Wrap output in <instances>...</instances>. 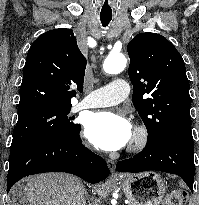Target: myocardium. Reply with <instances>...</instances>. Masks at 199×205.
<instances>
[{"label": "myocardium", "mask_w": 199, "mask_h": 205, "mask_svg": "<svg viewBox=\"0 0 199 205\" xmlns=\"http://www.w3.org/2000/svg\"><path fill=\"white\" fill-rule=\"evenodd\" d=\"M149 140V132L143 125H138L134 129L133 138L129 146L130 151L138 152L143 150Z\"/></svg>", "instance_id": "f54148a6"}]
</instances>
